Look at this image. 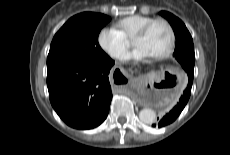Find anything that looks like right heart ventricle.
Masks as SVG:
<instances>
[{
    "label": "right heart ventricle",
    "mask_w": 230,
    "mask_h": 155,
    "mask_svg": "<svg viewBox=\"0 0 230 155\" xmlns=\"http://www.w3.org/2000/svg\"><path fill=\"white\" fill-rule=\"evenodd\" d=\"M153 19L154 18L150 16L132 15L119 20L116 23V27L125 36V38L132 39L144 25Z\"/></svg>",
    "instance_id": "obj_1"
}]
</instances>
